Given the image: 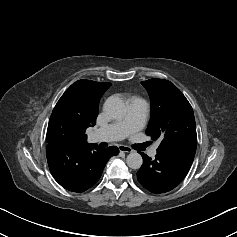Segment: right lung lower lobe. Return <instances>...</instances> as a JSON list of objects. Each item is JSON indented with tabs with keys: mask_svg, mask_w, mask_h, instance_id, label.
I'll return each instance as SVG.
<instances>
[{
	"mask_svg": "<svg viewBox=\"0 0 237 237\" xmlns=\"http://www.w3.org/2000/svg\"><path fill=\"white\" fill-rule=\"evenodd\" d=\"M119 153L116 146L106 149L96 144L48 143L46 156L50 172L65 189L83 192L101 177L107 161Z\"/></svg>",
	"mask_w": 237,
	"mask_h": 237,
	"instance_id": "right-lung-lower-lobe-1",
	"label": "right lung lower lobe"
}]
</instances>
